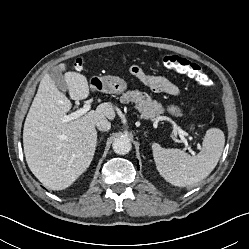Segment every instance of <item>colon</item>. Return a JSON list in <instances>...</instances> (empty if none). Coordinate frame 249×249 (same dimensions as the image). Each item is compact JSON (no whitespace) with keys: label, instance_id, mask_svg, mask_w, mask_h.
<instances>
[{"label":"colon","instance_id":"1","mask_svg":"<svg viewBox=\"0 0 249 249\" xmlns=\"http://www.w3.org/2000/svg\"><path fill=\"white\" fill-rule=\"evenodd\" d=\"M160 61L165 67L187 75L202 86L210 85V78L197 63L173 54L162 55ZM83 67L82 60H77L75 62V69L77 71H81Z\"/></svg>","mask_w":249,"mask_h":249}]
</instances>
